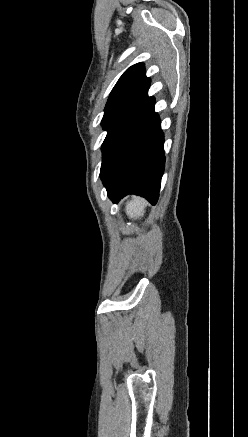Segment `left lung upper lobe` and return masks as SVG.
<instances>
[{"mask_svg": "<svg viewBox=\"0 0 248 437\" xmlns=\"http://www.w3.org/2000/svg\"><path fill=\"white\" fill-rule=\"evenodd\" d=\"M150 78L146 77L144 65L137 63L129 67L120 77L110 93L102 126L107 136L102 144L104 151L108 140L116 129L148 99Z\"/></svg>", "mask_w": 248, "mask_h": 437, "instance_id": "1", "label": "left lung upper lobe"}]
</instances>
